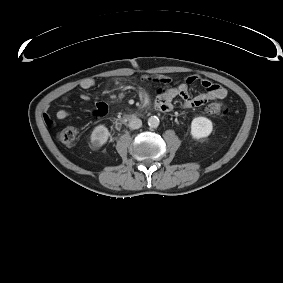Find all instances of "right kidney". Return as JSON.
<instances>
[{
	"instance_id": "1",
	"label": "right kidney",
	"mask_w": 283,
	"mask_h": 283,
	"mask_svg": "<svg viewBox=\"0 0 283 283\" xmlns=\"http://www.w3.org/2000/svg\"><path fill=\"white\" fill-rule=\"evenodd\" d=\"M109 136L108 128L104 125H98L92 131L91 142L96 146H102L107 142Z\"/></svg>"
}]
</instances>
